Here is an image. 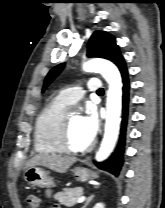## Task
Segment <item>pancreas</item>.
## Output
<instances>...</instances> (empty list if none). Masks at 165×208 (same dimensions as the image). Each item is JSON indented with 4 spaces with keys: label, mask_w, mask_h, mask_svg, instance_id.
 Returning a JSON list of instances; mask_svg holds the SVG:
<instances>
[{
    "label": "pancreas",
    "mask_w": 165,
    "mask_h": 208,
    "mask_svg": "<svg viewBox=\"0 0 165 208\" xmlns=\"http://www.w3.org/2000/svg\"><path fill=\"white\" fill-rule=\"evenodd\" d=\"M83 195L82 187L64 188L62 192L54 195V198L66 207H71L77 203V199Z\"/></svg>",
    "instance_id": "1"
}]
</instances>
